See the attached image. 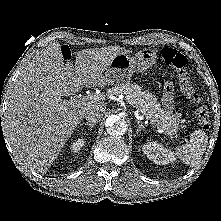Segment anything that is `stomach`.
Segmentation results:
<instances>
[{"mask_svg":"<svg viewBox=\"0 0 221 221\" xmlns=\"http://www.w3.org/2000/svg\"><path fill=\"white\" fill-rule=\"evenodd\" d=\"M155 50L144 48L135 56L127 53L118 54L106 68L104 73L107 84L120 85L128 82L135 72H144L156 63Z\"/></svg>","mask_w":221,"mask_h":221,"instance_id":"0dacf381","label":"stomach"}]
</instances>
